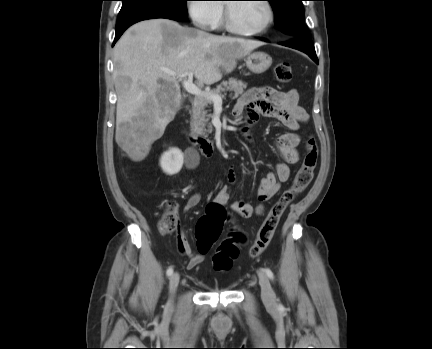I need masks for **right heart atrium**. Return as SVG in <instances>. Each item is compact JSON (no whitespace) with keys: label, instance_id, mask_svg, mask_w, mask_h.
Listing matches in <instances>:
<instances>
[{"label":"right heart atrium","instance_id":"right-heart-atrium-1","mask_svg":"<svg viewBox=\"0 0 432 349\" xmlns=\"http://www.w3.org/2000/svg\"><path fill=\"white\" fill-rule=\"evenodd\" d=\"M188 13L193 23L202 29H212L222 13V6L216 0H190Z\"/></svg>","mask_w":432,"mask_h":349}]
</instances>
